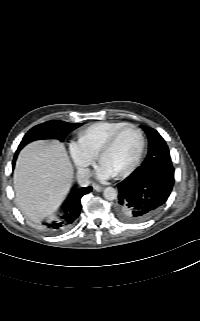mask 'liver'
Returning a JSON list of instances; mask_svg holds the SVG:
<instances>
[{
  "label": "liver",
  "instance_id": "obj_1",
  "mask_svg": "<svg viewBox=\"0 0 200 321\" xmlns=\"http://www.w3.org/2000/svg\"><path fill=\"white\" fill-rule=\"evenodd\" d=\"M73 179V167L63 144L35 141L25 146L13 175L15 199L32 220L54 214L65 199Z\"/></svg>",
  "mask_w": 200,
  "mask_h": 321
}]
</instances>
